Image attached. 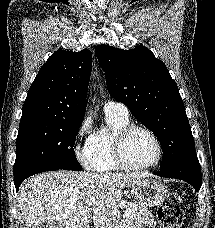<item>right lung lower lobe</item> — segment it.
I'll return each mask as SVG.
<instances>
[{
    "mask_svg": "<svg viewBox=\"0 0 215 228\" xmlns=\"http://www.w3.org/2000/svg\"><path fill=\"white\" fill-rule=\"evenodd\" d=\"M53 170H64V169L53 168V167H38V168L26 169L14 174V184H15L16 192L18 191L21 182L27 177H30L37 173H41L45 171H53Z\"/></svg>",
    "mask_w": 215,
    "mask_h": 228,
    "instance_id": "1",
    "label": "right lung lower lobe"
}]
</instances>
